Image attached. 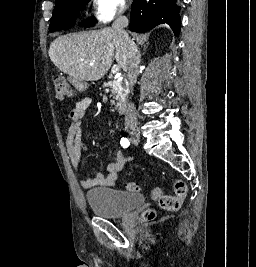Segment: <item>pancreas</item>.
<instances>
[{
  "label": "pancreas",
  "mask_w": 256,
  "mask_h": 267,
  "mask_svg": "<svg viewBox=\"0 0 256 267\" xmlns=\"http://www.w3.org/2000/svg\"><path fill=\"white\" fill-rule=\"evenodd\" d=\"M105 88H107V92H111L114 96V100H111V102H117L118 106H124L125 100L127 94L126 90H128L126 78H122V80H119V82H108L106 84Z\"/></svg>",
  "instance_id": "pancreas-1"
}]
</instances>
